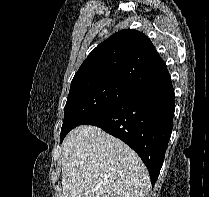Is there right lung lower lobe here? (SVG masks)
<instances>
[{
	"instance_id": "98d812e1",
	"label": "right lung lower lobe",
	"mask_w": 209,
	"mask_h": 197,
	"mask_svg": "<svg viewBox=\"0 0 209 197\" xmlns=\"http://www.w3.org/2000/svg\"><path fill=\"white\" fill-rule=\"evenodd\" d=\"M174 97L168 75L138 89L82 125L100 127L128 144L147 166L154 184L172 131Z\"/></svg>"
}]
</instances>
